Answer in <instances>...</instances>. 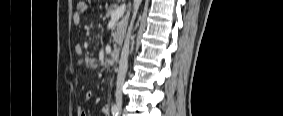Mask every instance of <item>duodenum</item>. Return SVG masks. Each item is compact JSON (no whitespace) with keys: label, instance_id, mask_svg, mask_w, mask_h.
I'll return each instance as SVG.
<instances>
[{"label":"duodenum","instance_id":"410a0bca","mask_svg":"<svg viewBox=\"0 0 283 116\" xmlns=\"http://www.w3.org/2000/svg\"><path fill=\"white\" fill-rule=\"evenodd\" d=\"M111 60L113 61L114 64H117L120 59V51L118 49H115L111 52Z\"/></svg>","mask_w":283,"mask_h":116}]
</instances>
